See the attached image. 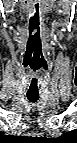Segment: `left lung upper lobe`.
I'll use <instances>...</instances> for the list:
<instances>
[{
	"mask_svg": "<svg viewBox=\"0 0 77 143\" xmlns=\"http://www.w3.org/2000/svg\"><path fill=\"white\" fill-rule=\"evenodd\" d=\"M60 138L62 140H74L73 138H75V132H74V130L67 132L66 134L60 136Z\"/></svg>",
	"mask_w": 77,
	"mask_h": 143,
	"instance_id": "left-lung-upper-lobe-1",
	"label": "left lung upper lobe"
}]
</instances>
